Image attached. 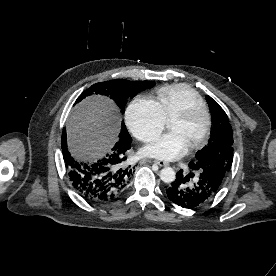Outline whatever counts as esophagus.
I'll use <instances>...</instances> for the list:
<instances>
[{"mask_svg": "<svg viewBox=\"0 0 276 276\" xmlns=\"http://www.w3.org/2000/svg\"><path fill=\"white\" fill-rule=\"evenodd\" d=\"M154 163L158 164L159 166H168L169 163L161 160H153Z\"/></svg>", "mask_w": 276, "mask_h": 276, "instance_id": "esophagus-1", "label": "esophagus"}]
</instances>
